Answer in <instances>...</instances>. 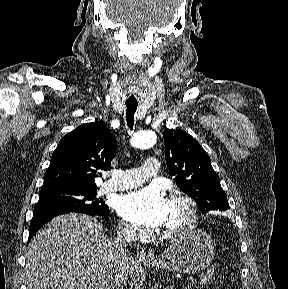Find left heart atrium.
<instances>
[{
    "label": "left heart atrium",
    "mask_w": 288,
    "mask_h": 289,
    "mask_svg": "<svg viewBox=\"0 0 288 289\" xmlns=\"http://www.w3.org/2000/svg\"><path fill=\"white\" fill-rule=\"evenodd\" d=\"M167 204L168 200L158 186H148L119 196L115 209L129 222L155 228L165 224Z\"/></svg>",
    "instance_id": "1"
}]
</instances>
